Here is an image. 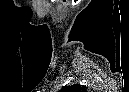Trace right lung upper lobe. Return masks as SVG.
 <instances>
[{"mask_svg":"<svg viewBox=\"0 0 129 92\" xmlns=\"http://www.w3.org/2000/svg\"><path fill=\"white\" fill-rule=\"evenodd\" d=\"M75 89L81 90L82 87L79 86V85H73V86H70V87L69 86H66V87L62 88V90H60V92H70V91H73Z\"/></svg>","mask_w":129,"mask_h":92,"instance_id":"cb5924a9","label":"right lung upper lobe"}]
</instances>
